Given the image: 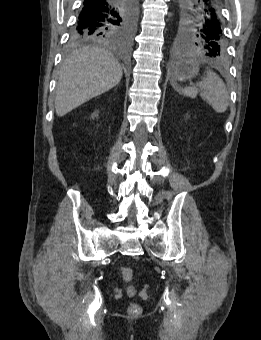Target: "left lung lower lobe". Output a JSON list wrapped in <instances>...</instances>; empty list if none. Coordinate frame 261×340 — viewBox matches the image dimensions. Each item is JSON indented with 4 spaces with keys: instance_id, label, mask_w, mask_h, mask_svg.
Returning a JSON list of instances; mask_svg holds the SVG:
<instances>
[{
    "instance_id": "obj_1",
    "label": "left lung lower lobe",
    "mask_w": 261,
    "mask_h": 340,
    "mask_svg": "<svg viewBox=\"0 0 261 340\" xmlns=\"http://www.w3.org/2000/svg\"><path fill=\"white\" fill-rule=\"evenodd\" d=\"M206 16H215L219 7L221 8L220 0H195Z\"/></svg>"
}]
</instances>
